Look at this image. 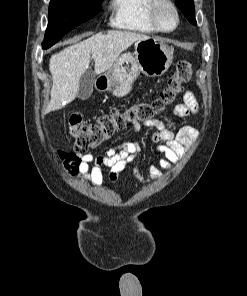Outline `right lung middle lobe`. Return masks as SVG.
Segmentation results:
<instances>
[{"label":"right lung middle lobe","mask_w":247,"mask_h":296,"mask_svg":"<svg viewBox=\"0 0 247 296\" xmlns=\"http://www.w3.org/2000/svg\"><path fill=\"white\" fill-rule=\"evenodd\" d=\"M103 0H50L49 22L42 47L47 49L67 32L93 18Z\"/></svg>","instance_id":"dd1d6c3e"}]
</instances>
